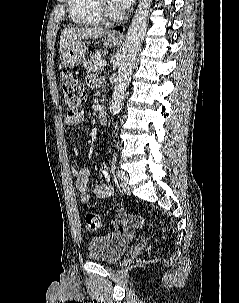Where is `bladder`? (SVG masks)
I'll return each mask as SVG.
<instances>
[{"label":"bladder","instance_id":"obj_1","mask_svg":"<svg viewBox=\"0 0 239 303\" xmlns=\"http://www.w3.org/2000/svg\"><path fill=\"white\" fill-rule=\"evenodd\" d=\"M135 238L134 233H110L94 236L88 242V256L98 263L117 262L127 251Z\"/></svg>","mask_w":239,"mask_h":303}]
</instances>
